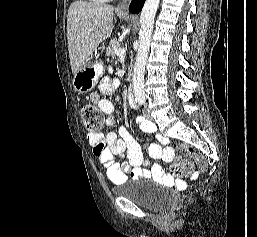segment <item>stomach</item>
Returning <instances> with one entry per match:
<instances>
[{
	"mask_svg": "<svg viewBox=\"0 0 257 237\" xmlns=\"http://www.w3.org/2000/svg\"><path fill=\"white\" fill-rule=\"evenodd\" d=\"M103 73V67L100 63L92 61L90 58L74 74L73 87L78 93H88L98 83L99 77Z\"/></svg>",
	"mask_w": 257,
	"mask_h": 237,
	"instance_id": "obj_1",
	"label": "stomach"
}]
</instances>
